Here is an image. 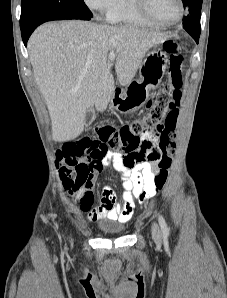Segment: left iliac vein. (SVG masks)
Instances as JSON below:
<instances>
[{"instance_id": "obj_1", "label": "left iliac vein", "mask_w": 227, "mask_h": 298, "mask_svg": "<svg viewBox=\"0 0 227 298\" xmlns=\"http://www.w3.org/2000/svg\"><path fill=\"white\" fill-rule=\"evenodd\" d=\"M152 237L156 242L161 241V237H162L161 231L159 229V226L156 223L152 225Z\"/></svg>"}]
</instances>
